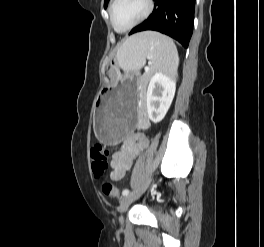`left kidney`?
Instances as JSON below:
<instances>
[{"label": "left kidney", "instance_id": "obj_1", "mask_svg": "<svg viewBox=\"0 0 264 247\" xmlns=\"http://www.w3.org/2000/svg\"><path fill=\"white\" fill-rule=\"evenodd\" d=\"M176 91L173 76L156 72L150 79L146 93V107L149 119L160 122L166 115Z\"/></svg>", "mask_w": 264, "mask_h": 247}]
</instances>
